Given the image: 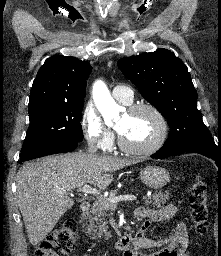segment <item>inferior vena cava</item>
Instances as JSON below:
<instances>
[{"label":"inferior vena cava","mask_w":221,"mask_h":256,"mask_svg":"<svg viewBox=\"0 0 221 256\" xmlns=\"http://www.w3.org/2000/svg\"><path fill=\"white\" fill-rule=\"evenodd\" d=\"M96 151H97V148L96 147H94V146H89V148H88V152L90 153V154H94V153H96Z\"/></svg>","instance_id":"obj_1"}]
</instances>
